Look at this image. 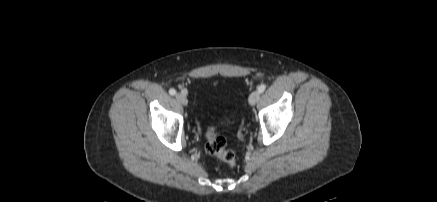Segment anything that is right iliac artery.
I'll use <instances>...</instances> for the list:
<instances>
[{"instance_id":"82829eb1","label":"right iliac artery","mask_w":437,"mask_h":202,"mask_svg":"<svg viewBox=\"0 0 437 202\" xmlns=\"http://www.w3.org/2000/svg\"><path fill=\"white\" fill-rule=\"evenodd\" d=\"M169 93H170V95H175V94H176V90L173 89V88H171V89L169 90Z\"/></svg>"}]
</instances>
